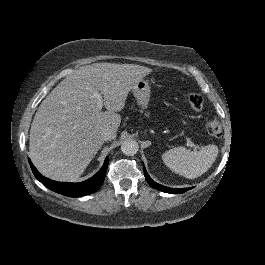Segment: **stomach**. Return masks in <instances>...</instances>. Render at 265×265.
I'll return each mask as SVG.
<instances>
[{"mask_svg":"<svg viewBox=\"0 0 265 265\" xmlns=\"http://www.w3.org/2000/svg\"><path fill=\"white\" fill-rule=\"evenodd\" d=\"M134 97L137 100L138 105L143 109L147 108L150 101V86L147 81L139 80L131 89Z\"/></svg>","mask_w":265,"mask_h":265,"instance_id":"obj_1","label":"stomach"}]
</instances>
